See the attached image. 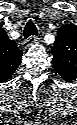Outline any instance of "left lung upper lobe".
Returning a JSON list of instances; mask_svg holds the SVG:
<instances>
[{
  "mask_svg": "<svg viewBox=\"0 0 77 125\" xmlns=\"http://www.w3.org/2000/svg\"><path fill=\"white\" fill-rule=\"evenodd\" d=\"M53 67H77V27L64 25L59 28L52 48Z\"/></svg>",
  "mask_w": 77,
  "mask_h": 125,
  "instance_id": "left-lung-upper-lobe-1",
  "label": "left lung upper lobe"
}]
</instances>
